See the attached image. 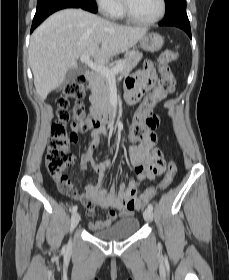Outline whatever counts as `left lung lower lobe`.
I'll return each instance as SVG.
<instances>
[{
  "instance_id": "obj_1",
  "label": "left lung lower lobe",
  "mask_w": 229,
  "mask_h": 280,
  "mask_svg": "<svg viewBox=\"0 0 229 280\" xmlns=\"http://www.w3.org/2000/svg\"><path fill=\"white\" fill-rule=\"evenodd\" d=\"M160 26H176L184 30L188 36L191 38L190 23L187 17L186 11H180L172 16L165 17L162 22L159 23Z\"/></svg>"
}]
</instances>
